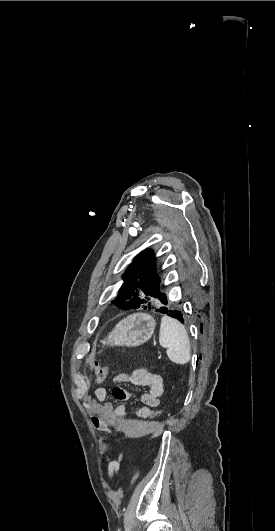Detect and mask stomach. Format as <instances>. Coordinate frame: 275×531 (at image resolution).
Returning a JSON list of instances; mask_svg holds the SVG:
<instances>
[{"label": "stomach", "instance_id": "stomach-1", "mask_svg": "<svg viewBox=\"0 0 275 531\" xmlns=\"http://www.w3.org/2000/svg\"><path fill=\"white\" fill-rule=\"evenodd\" d=\"M157 323L148 313H134L119 321L102 341L108 347H138L151 339Z\"/></svg>", "mask_w": 275, "mask_h": 531}]
</instances>
